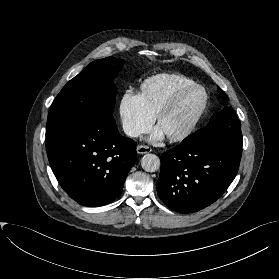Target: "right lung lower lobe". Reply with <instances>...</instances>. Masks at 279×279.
<instances>
[{
    "label": "right lung lower lobe",
    "mask_w": 279,
    "mask_h": 279,
    "mask_svg": "<svg viewBox=\"0 0 279 279\" xmlns=\"http://www.w3.org/2000/svg\"><path fill=\"white\" fill-rule=\"evenodd\" d=\"M136 145L106 116H89L46 137L59 184L76 202L91 207L107 205L121 194L137 161Z\"/></svg>",
    "instance_id": "1"
}]
</instances>
